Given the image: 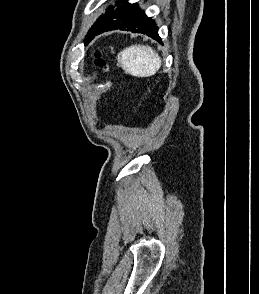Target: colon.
Masks as SVG:
<instances>
[{"instance_id":"obj_1","label":"colon","mask_w":259,"mask_h":294,"mask_svg":"<svg viewBox=\"0 0 259 294\" xmlns=\"http://www.w3.org/2000/svg\"><path fill=\"white\" fill-rule=\"evenodd\" d=\"M96 65L104 71L108 70L106 62L102 59L99 52L96 53Z\"/></svg>"}]
</instances>
